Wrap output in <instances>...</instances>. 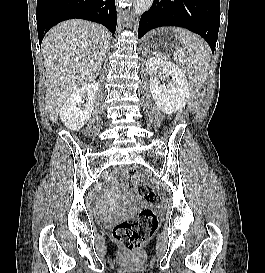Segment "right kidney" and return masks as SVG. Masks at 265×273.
<instances>
[{
    "label": "right kidney",
    "instance_id": "1",
    "mask_svg": "<svg viewBox=\"0 0 265 273\" xmlns=\"http://www.w3.org/2000/svg\"><path fill=\"white\" fill-rule=\"evenodd\" d=\"M98 83L91 81L77 89L66 100L60 111V118L64 125L73 131L80 130L90 119L94 103L97 98ZM86 95V104L82 102V96Z\"/></svg>",
    "mask_w": 265,
    "mask_h": 273
}]
</instances>
